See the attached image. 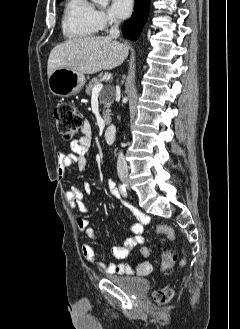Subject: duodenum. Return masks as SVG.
Here are the masks:
<instances>
[{"mask_svg": "<svg viewBox=\"0 0 240 329\" xmlns=\"http://www.w3.org/2000/svg\"><path fill=\"white\" fill-rule=\"evenodd\" d=\"M116 129L113 124H110L104 130V139L107 143L111 144L115 140Z\"/></svg>", "mask_w": 240, "mask_h": 329, "instance_id": "obj_1", "label": "duodenum"}]
</instances>
